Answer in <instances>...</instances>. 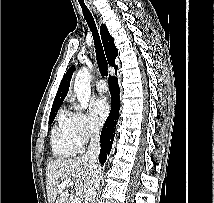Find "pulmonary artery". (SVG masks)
Returning <instances> with one entry per match:
<instances>
[{
  "mask_svg": "<svg viewBox=\"0 0 214 203\" xmlns=\"http://www.w3.org/2000/svg\"><path fill=\"white\" fill-rule=\"evenodd\" d=\"M95 87L99 92H105L107 90V85L103 80H98L95 83Z\"/></svg>",
  "mask_w": 214,
  "mask_h": 203,
  "instance_id": "pulmonary-artery-1",
  "label": "pulmonary artery"
}]
</instances>
